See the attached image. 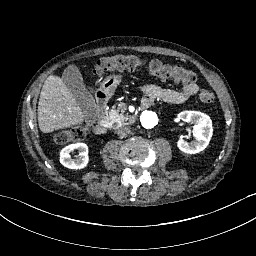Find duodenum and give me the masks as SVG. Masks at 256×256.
I'll list each match as a JSON object with an SVG mask.
<instances>
[{
	"instance_id": "obj_1",
	"label": "duodenum",
	"mask_w": 256,
	"mask_h": 256,
	"mask_svg": "<svg viewBox=\"0 0 256 256\" xmlns=\"http://www.w3.org/2000/svg\"><path fill=\"white\" fill-rule=\"evenodd\" d=\"M121 84L122 77L119 74H109L103 78V81L98 86L96 91L98 101L96 105L99 109V116L94 126V131L97 135L103 136L107 133L109 128L107 111L111 105V93L115 87H119ZM138 105L140 108L145 109L148 107L149 102L147 99L142 98L139 100Z\"/></svg>"
}]
</instances>
